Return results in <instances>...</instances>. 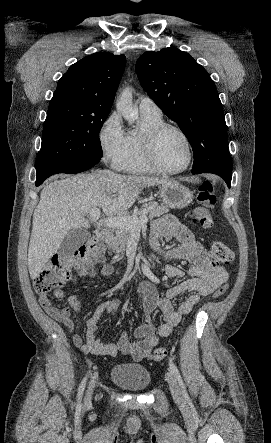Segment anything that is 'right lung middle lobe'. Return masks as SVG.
<instances>
[{
  "label": "right lung middle lobe",
  "mask_w": 271,
  "mask_h": 443,
  "mask_svg": "<svg viewBox=\"0 0 271 443\" xmlns=\"http://www.w3.org/2000/svg\"><path fill=\"white\" fill-rule=\"evenodd\" d=\"M107 116L89 113L73 103L49 105L36 169L63 161L99 162V132Z\"/></svg>",
  "instance_id": "obj_1"
}]
</instances>
